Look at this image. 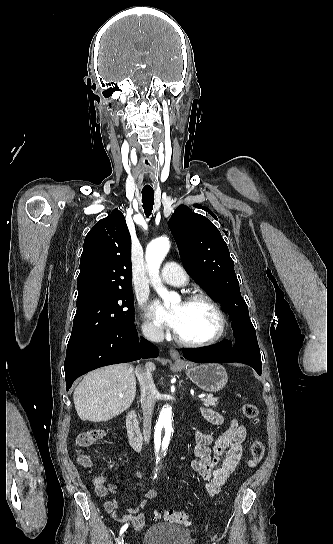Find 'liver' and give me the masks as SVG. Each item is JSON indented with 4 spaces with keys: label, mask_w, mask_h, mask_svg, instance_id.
<instances>
[{
    "label": "liver",
    "mask_w": 333,
    "mask_h": 544,
    "mask_svg": "<svg viewBox=\"0 0 333 544\" xmlns=\"http://www.w3.org/2000/svg\"><path fill=\"white\" fill-rule=\"evenodd\" d=\"M147 365L151 371L156 369L152 362ZM135 394L133 366L116 364L88 373L76 387L73 400L81 420L103 422L126 411Z\"/></svg>",
    "instance_id": "liver-1"
}]
</instances>
